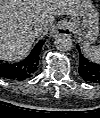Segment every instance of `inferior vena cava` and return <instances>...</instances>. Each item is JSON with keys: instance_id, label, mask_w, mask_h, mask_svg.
<instances>
[{"instance_id": "inferior-vena-cava-1", "label": "inferior vena cava", "mask_w": 100, "mask_h": 118, "mask_svg": "<svg viewBox=\"0 0 100 118\" xmlns=\"http://www.w3.org/2000/svg\"><path fill=\"white\" fill-rule=\"evenodd\" d=\"M51 26V23L46 21V22H43V23H38L36 26H35V31L36 33L38 34H44L48 31L49 27Z\"/></svg>"}]
</instances>
